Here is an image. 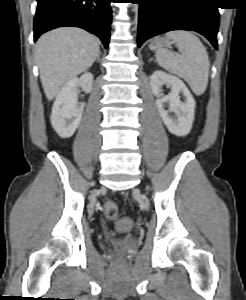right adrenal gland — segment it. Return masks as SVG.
I'll return each mask as SVG.
<instances>
[{"instance_id":"2a0ac1e0","label":"right adrenal gland","mask_w":246,"mask_h":300,"mask_svg":"<svg viewBox=\"0 0 246 300\" xmlns=\"http://www.w3.org/2000/svg\"><path fill=\"white\" fill-rule=\"evenodd\" d=\"M100 52L98 53V55H97V61H100Z\"/></svg>"}]
</instances>
